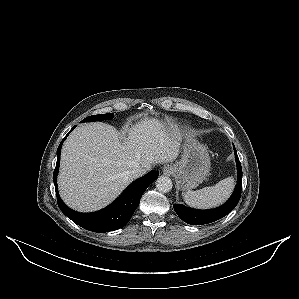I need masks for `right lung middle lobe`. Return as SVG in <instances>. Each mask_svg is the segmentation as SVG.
<instances>
[{
  "instance_id": "obj_1",
  "label": "right lung middle lobe",
  "mask_w": 299,
  "mask_h": 299,
  "mask_svg": "<svg viewBox=\"0 0 299 299\" xmlns=\"http://www.w3.org/2000/svg\"><path fill=\"white\" fill-rule=\"evenodd\" d=\"M113 117H114L113 113L92 115V116L85 118L81 122L109 120V119H112Z\"/></svg>"
}]
</instances>
